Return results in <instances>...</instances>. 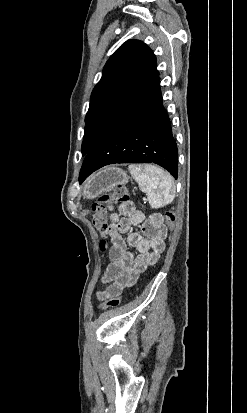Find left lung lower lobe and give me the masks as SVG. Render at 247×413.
I'll return each mask as SVG.
<instances>
[{"mask_svg": "<svg viewBox=\"0 0 247 413\" xmlns=\"http://www.w3.org/2000/svg\"><path fill=\"white\" fill-rule=\"evenodd\" d=\"M156 163L178 176V150L162 105L158 77L102 134L86 154L79 182L114 163Z\"/></svg>", "mask_w": 247, "mask_h": 413, "instance_id": "1", "label": "left lung lower lobe"}]
</instances>
